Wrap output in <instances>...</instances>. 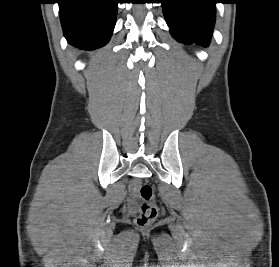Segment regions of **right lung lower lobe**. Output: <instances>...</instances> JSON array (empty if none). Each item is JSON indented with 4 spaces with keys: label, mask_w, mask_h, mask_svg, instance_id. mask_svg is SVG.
Wrapping results in <instances>:
<instances>
[{
    "label": "right lung lower lobe",
    "mask_w": 279,
    "mask_h": 267,
    "mask_svg": "<svg viewBox=\"0 0 279 267\" xmlns=\"http://www.w3.org/2000/svg\"><path fill=\"white\" fill-rule=\"evenodd\" d=\"M58 4L64 35L71 45L93 50L109 41L117 0H59Z\"/></svg>",
    "instance_id": "obj_1"
}]
</instances>
